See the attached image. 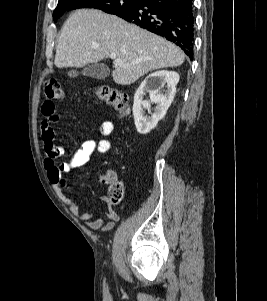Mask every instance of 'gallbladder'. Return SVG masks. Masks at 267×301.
I'll use <instances>...</instances> for the list:
<instances>
[{
    "label": "gallbladder",
    "mask_w": 267,
    "mask_h": 301,
    "mask_svg": "<svg viewBox=\"0 0 267 301\" xmlns=\"http://www.w3.org/2000/svg\"><path fill=\"white\" fill-rule=\"evenodd\" d=\"M82 75L91 77L93 79H105L109 75V69L106 65L101 63H94L91 65H88L83 68L81 71ZM79 74L76 70H71L68 72V76L74 78L77 77Z\"/></svg>",
    "instance_id": "1"
}]
</instances>
